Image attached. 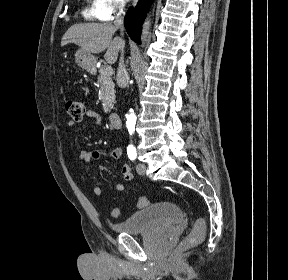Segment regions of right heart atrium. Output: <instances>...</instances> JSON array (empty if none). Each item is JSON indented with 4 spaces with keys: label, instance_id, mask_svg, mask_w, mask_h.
<instances>
[{
    "label": "right heart atrium",
    "instance_id": "1",
    "mask_svg": "<svg viewBox=\"0 0 288 280\" xmlns=\"http://www.w3.org/2000/svg\"><path fill=\"white\" fill-rule=\"evenodd\" d=\"M125 2L126 0H97V18L102 21L112 20L124 9Z\"/></svg>",
    "mask_w": 288,
    "mask_h": 280
}]
</instances>
